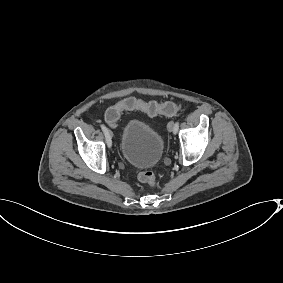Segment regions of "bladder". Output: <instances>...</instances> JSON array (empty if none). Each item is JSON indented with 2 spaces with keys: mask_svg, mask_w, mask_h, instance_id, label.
Segmentation results:
<instances>
[{
  "mask_svg": "<svg viewBox=\"0 0 283 283\" xmlns=\"http://www.w3.org/2000/svg\"><path fill=\"white\" fill-rule=\"evenodd\" d=\"M164 137L144 119H127L119 138V154L135 167H151L158 164L164 149Z\"/></svg>",
  "mask_w": 283,
  "mask_h": 283,
  "instance_id": "obj_1",
  "label": "bladder"
}]
</instances>
